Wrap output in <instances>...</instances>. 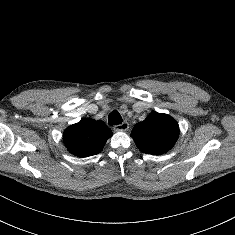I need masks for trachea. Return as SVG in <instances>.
I'll list each match as a JSON object with an SVG mask.
<instances>
[{
  "instance_id": "3493384b",
  "label": "trachea",
  "mask_w": 235,
  "mask_h": 235,
  "mask_svg": "<svg viewBox=\"0 0 235 235\" xmlns=\"http://www.w3.org/2000/svg\"><path fill=\"white\" fill-rule=\"evenodd\" d=\"M109 125H118L122 123V117L117 110H113L108 116Z\"/></svg>"
}]
</instances>
